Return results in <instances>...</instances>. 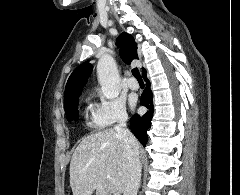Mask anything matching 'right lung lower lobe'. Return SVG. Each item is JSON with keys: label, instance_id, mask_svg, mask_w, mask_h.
I'll return each instance as SVG.
<instances>
[{"label": "right lung lower lobe", "instance_id": "obj_1", "mask_svg": "<svg viewBox=\"0 0 240 195\" xmlns=\"http://www.w3.org/2000/svg\"><path fill=\"white\" fill-rule=\"evenodd\" d=\"M146 89L141 95L140 104L148 108V111L139 116L133 115L130 119V128L132 133L138 138V140L145 146L148 141L147 131L150 129L151 121L153 118V94L150 89V81L145 78Z\"/></svg>", "mask_w": 240, "mask_h": 195}]
</instances>
